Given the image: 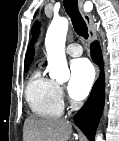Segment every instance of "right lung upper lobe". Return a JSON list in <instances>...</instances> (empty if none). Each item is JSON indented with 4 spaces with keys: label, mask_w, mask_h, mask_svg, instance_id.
Instances as JSON below:
<instances>
[{
    "label": "right lung upper lobe",
    "mask_w": 119,
    "mask_h": 141,
    "mask_svg": "<svg viewBox=\"0 0 119 141\" xmlns=\"http://www.w3.org/2000/svg\"><path fill=\"white\" fill-rule=\"evenodd\" d=\"M32 57H33V51L28 50L25 58V69H27L28 66L30 65Z\"/></svg>",
    "instance_id": "obj_1"
}]
</instances>
